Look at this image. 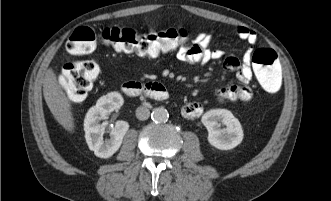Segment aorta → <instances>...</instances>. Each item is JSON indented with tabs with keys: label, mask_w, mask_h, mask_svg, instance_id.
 Wrapping results in <instances>:
<instances>
[{
	"label": "aorta",
	"mask_w": 331,
	"mask_h": 201,
	"mask_svg": "<svg viewBox=\"0 0 331 201\" xmlns=\"http://www.w3.org/2000/svg\"><path fill=\"white\" fill-rule=\"evenodd\" d=\"M151 118L154 122L163 123L169 118V113L164 107H157L153 109L151 113Z\"/></svg>",
	"instance_id": "762f6f07"
}]
</instances>
